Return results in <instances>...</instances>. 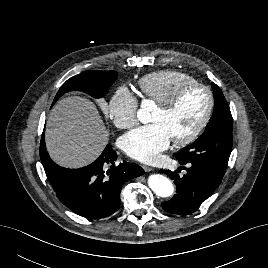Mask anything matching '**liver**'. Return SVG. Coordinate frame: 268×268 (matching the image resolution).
<instances>
[{
  "label": "liver",
  "mask_w": 268,
  "mask_h": 268,
  "mask_svg": "<svg viewBox=\"0 0 268 268\" xmlns=\"http://www.w3.org/2000/svg\"><path fill=\"white\" fill-rule=\"evenodd\" d=\"M109 140V130L89 99L69 96L59 100L47 119L45 142L52 160L66 168L84 167L98 158Z\"/></svg>",
  "instance_id": "6515ba94"
}]
</instances>
